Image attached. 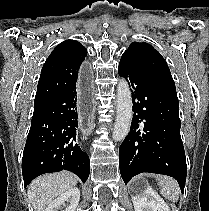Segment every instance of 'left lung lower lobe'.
Wrapping results in <instances>:
<instances>
[{"instance_id":"left-lung-lower-lobe-1","label":"left lung lower lobe","mask_w":209,"mask_h":211,"mask_svg":"<svg viewBox=\"0 0 209 211\" xmlns=\"http://www.w3.org/2000/svg\"><path fill=\"white\" fill-rule=\"evenodd\" d=\"M118 73L131 86L134 112L131 130L119 148L123 181L127 184L143 172L164 174L175 178L183 193L187 165L176 89L127 58H121Z\"/></svg>"}]
</instances>
